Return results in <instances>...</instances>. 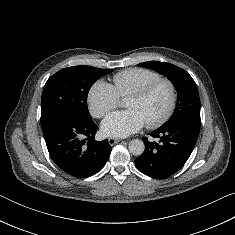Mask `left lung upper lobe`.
Returning <instances> with one entry per match:
<instances>
[{"label": "left lung upper lobe", "mask_w": 235, "mask_h": 235, "mask_svg": "<svg viewBox=\"0 0 235 235\" xmlns=\"http://www.w3.org/2000/svg\"><path fill=\"white\" fill-rule=\"evenodd\" d=\"M139 66L153 69L166 76L177 90V104L174 113L161 128L187 121L201 123L198 89L188 72L173 64L159 61L144 62Z\"/></svg>", "instance_id": "1"}]
</instances>
